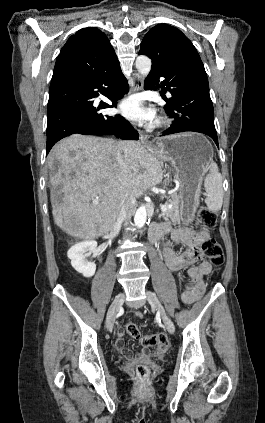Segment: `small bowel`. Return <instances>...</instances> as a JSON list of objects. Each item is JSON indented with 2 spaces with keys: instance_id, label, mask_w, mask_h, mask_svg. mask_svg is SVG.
Wrapping results in <instances>:
<instances>
[{
  "instance_id": "small-bowel-1",
  "label": "small bowel",
  "mask_w": 265,
  "mask_h": 423,
  "mask_svg": "<svg viewBox=\"0 0 265 423\" xmlns=\"http://www.w3.org/2000/svg\"><path fill=\"white\" fill-rule=\"evenodd\" d=\"M164 231V234H170L172 240L184 245L186 249L176 254L168 243L163 245V256L167 267L173 272H179L187 269V274L190 281L185 284L181 299L185 304H191L201 297L204 292L205 284L203 277L211 272V266L208 262L202 261L199 252V245L208 236V232H195L190 228H173L170 221L163 224L155 225ZM140 316V313H136ZM124 332L118 329L116 332L115 348L118 353L126 359H131V353L124 347L123 342Z\"/></svg>"
}]
</instances>
